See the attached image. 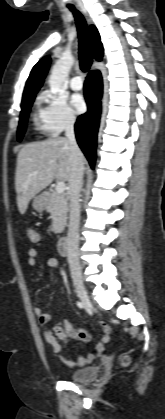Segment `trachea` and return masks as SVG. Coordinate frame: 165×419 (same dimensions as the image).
I'll use <instances>...</instances> for the list:
<instances>
[{
  "label": "trachea",
  "instance_id": "1",
  "mask_svg": "<svg viewBox=\"0 0 165 419\" xmlns=\"http://www.w3.org/2000/svg\"><path fill=\"white\" fill-rule=\"evenodd\" d=\"M68 8L73 13L76 20L79 38L80 67L82 71L86 72L90 69L92 64V55L87 31V24L83 15L74 6H69Z\"/></svg>",
  "mask_w": 165,
  "mask_h": 419
}]
</instances>
